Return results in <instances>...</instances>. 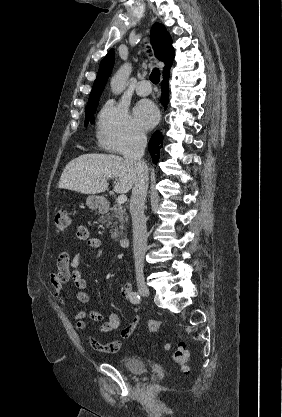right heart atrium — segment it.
<instances>
[{
	"label": "right heart atrium",
	"instance_id": "obj_1",
	"mask_svg": "<svg viewBox=\"0 0 282 417\" xmlns=\"http://www.w3.org/2000/svg\"><path fill=\"white\" fill-rule=\"evenodd\" d=\"M98 139L107 150L128 154L139 148L144 134L122 104L113 101L106 103L98 122Z\"/></svg>",
	"mask_w": 282,
	"mask_h": 417
}]
</instances>
